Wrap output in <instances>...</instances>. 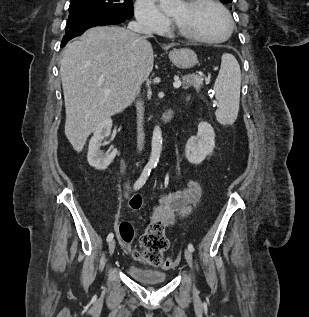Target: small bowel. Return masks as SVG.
<instances>
[{
	"label": "small bowel",
	"mask_w": 309,
	"mask_h": 317,
	"mask_svg": "<svg viewBox=\"0 0 309 317\" xmlns=\"http://www.w3.org/2000/svg\"><path fill=\"white\" fill-rule=\"evenodd\" d=\"M200 197L201 188L196 181H191L184 190L161 194L154 207V219L170 226L176 218L188 215Z\"/></svg>",
	"instance_id": "small-bowel-1"
}]
</instances>
